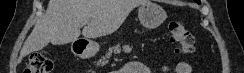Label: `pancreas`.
I'll use <instances>...</instances> for the list:
<instances>
[{
    "label": "pancreas",
    "instance_id": "obj_1",
    "mask_svg": "<svg viewBox=\"0 0 244 73\" xmlns=\"http://www.w3.org/2000/svg\"><path fill=\"white\" fill-rule=\"evenodd\" d=\"M121 51H124L125 53H130L132 51V47L128 45H124L121 47L120 44L110 47L105 56L101 57V59L99 60V64H105L107 62V59L112 56V53L118 54Z\"/></svg>",
    "mask_w": 244,
    "mask_h": 73
}]
</instances>
